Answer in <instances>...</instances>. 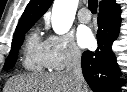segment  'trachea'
Masks as SVG:
<instances>
[{
    "label": "trachea",
    "instance_id": "obj_1",
    "mask_svg": "<svg viewBox=\"0 0 127 92\" xmlns=\"http://www.w3.org/2000/svg\"><path fill=\"white\" fill-rule=\"evenodd\" d=\"M97 6H98V1L97 0H89L88 7H89L90 11L93 14H96V12H97Z\"/></svg>",
    "mask_w": 127,
    "mask_h": 92
}]
</instances>
